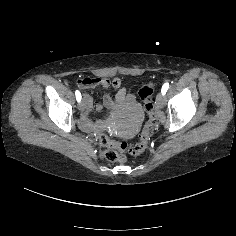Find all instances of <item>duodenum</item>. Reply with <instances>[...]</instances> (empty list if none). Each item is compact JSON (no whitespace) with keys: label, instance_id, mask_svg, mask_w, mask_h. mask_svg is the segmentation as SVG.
Returning a JSON list of instances; mask_svg holds the SVG:
<instances>
[{"label":"duodenum","instance_id":"obj_1","mask_svg":"<svg viewBox=\"0 0 236 236\" xmlns=\"http://www.w3.org/2000/svg\"><path fill=\"white\" fill-rule=\"evenodd\" d=\"M128 103V98L125 97V92L121 91L116 96L115 102L110 99V97H105L104 104L112 110L119 108L120 106ZM91 106L90 100H87V107ZM81 124L86 130H95L100 127L102 123H94L89 120L87 117L81 119Z\"/></svg>","mask_w":236,"mask_h":236}]
</instances>
